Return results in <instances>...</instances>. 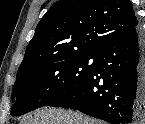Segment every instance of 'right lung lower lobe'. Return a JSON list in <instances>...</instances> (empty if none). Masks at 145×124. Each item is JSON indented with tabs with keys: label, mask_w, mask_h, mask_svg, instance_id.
<instances>
[{
	"label": "right lung lower lobe",
	"mask_w": 145,
	"mask_h": 124,
	"mask_svg": "<svg viewBox=\"0 0 145 124\" xmlns=\"http://www.w3.org/2000/svg\"><path fill=\"white\" fill-rule=\"evenodd\" d=\"M45 106L79 110L111 124H135L145 110V37L139 26L107 44L90 74Z\"/></svg>",
	"instance_id": "right-lung-lower-lobe-1"
}]
</instances>
